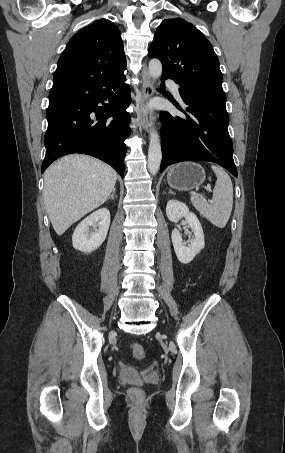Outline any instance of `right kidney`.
<instances>
[{
    "label": "right kidney",
    "mask_w": 285,
    "mask_h": 453,
    "mask_svg": "<svg viewBox=\"0 0 285 453\" xmlns=\"http://www.w3.org/2000/svg\"><path fill=\"white\" fill-rule=\"evenodd\" d=\"M109 226V210L107 208L96 210L76 227L72 236L73 247L84 253L95 251L105 241ZM90 227L93 228L92 231Z\"/></svg>",
    "instance_id": "1"
}]
</instances>
